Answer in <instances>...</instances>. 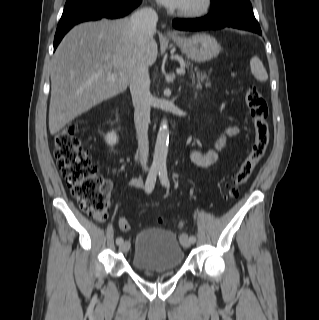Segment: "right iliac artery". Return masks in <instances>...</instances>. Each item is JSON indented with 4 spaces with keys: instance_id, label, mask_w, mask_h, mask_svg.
I'll return each mask as SVG.
<instances>
[{
    "instance_id": "right-iliac-artery-1",
    "label": "right iliac artery",
    "mask_w": 319,
    "mask_h": 320,
    "mask_svg": "<svg viewBox=\"0 0 319 320\" xmlns=\"http://www.w3.org/2000/svg\"><path fill=\"white\" fill-rule=\"evenodd\" d=\"M159 168L158 167H151L147 180H146V184H145V191L147 193H151L152 190L154 189V185L156 182V177H157V173H158ZM123 238L122 237H118L116 239V244L117 245H121L123 243Z\"/></svg>"
}]
</instances>
